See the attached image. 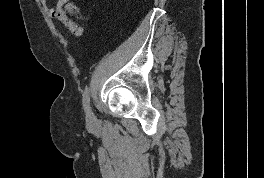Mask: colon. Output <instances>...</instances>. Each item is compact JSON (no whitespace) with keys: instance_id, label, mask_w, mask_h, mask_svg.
Instances as JSON below:
<instances>
[{"instance_id":"obj_1","label":"colon","mask_w":264,"mask_h":178,"mask_svg":"<svg viewBox=\"0 0 264 178\" xmlns=\"http://www.w3.org/2000/svg\"><path fill=\"white\" fill-rule=\"evenodd\" d=\"M68 0H66V2H67ZM67 10H68V12L69 13H71V14H76L77 13V7L75 6V5H73V4H68L67 5Z\"/></svg>"}]
</instances>
